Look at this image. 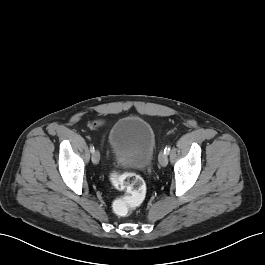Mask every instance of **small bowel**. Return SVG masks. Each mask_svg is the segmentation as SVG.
<instances>
[{
  "label": "small bowel",
  "instance_id": "1",
  "mask_svg": "<svg viewBox=\"0 0 265 265\" xmlns=\"http://www.w3.org/2000/svg\"><path fill=\"white\" fill-rule=\"evenodd\" d=\"M102 124H103L102 121H96V122H94L92 125H93L94 127H98V126H100V125H102Z\"/></svg>",
  "mask_w": 265,
  "mask_h": 265
}]
</instances>
